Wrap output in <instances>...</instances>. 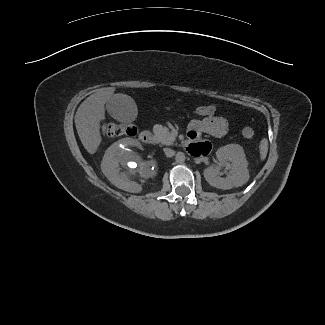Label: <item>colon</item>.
I'll return each mask as SVG.
<instances>
[{
	"label": "colon",
	"instance_id": "colon-1",
	"mask_svg": "<svg viewBox=\"0 0 325 325\" xmlns=\"http://www.w3.org/2000/svg\"><path fill=\"white\" fill-rule=\"evenodd\" d=\"M193 114L197 117H212L217 113V108L214 105H200L195 106L192 110ZM102 133L106 137H115V136H134L137 133V130L134 126L129 124H121L115 122H106L102 125ZM242 134L245 138L250 139L254 136V130L246 126L242 130Z\"/></svg>",
	"mask_w": 325,
	"mask_h": 325
}]
</instances>
